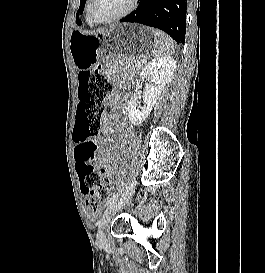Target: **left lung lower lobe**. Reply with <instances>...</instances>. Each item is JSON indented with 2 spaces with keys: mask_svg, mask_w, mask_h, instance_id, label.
Here are the masks:
<instances>
[{
  "mask_svg": "<svg viewBox=\"0 0 265 273\" xmlns=\"http://www.w3.org/2000/svg\"><path fill=\"white\" fill-rule=\"evenodd\" d=\"M187 0H140L139 7L120 22H135L163 30L184 44Z\"/></svg>",
  "mask_w": 265,
  "mask_h": 273,
  "instance_id": "1",
  "label": "left lung lower lobe"
}]
</instances>
